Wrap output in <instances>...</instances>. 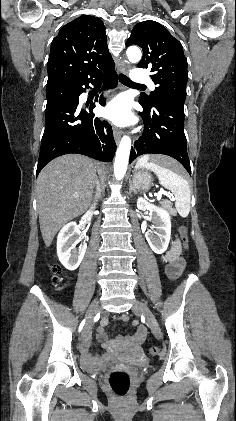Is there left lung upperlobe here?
I'll return each mask as SVG.
<instances>
[{
  "instance_id": "1",
  "label": "left lung upper lobe",
  "mask_w": 236,
  "mask_h": 421,
  "mask_svg": "<svg viewBox=\"0 0 236 421\" xmlns=\"http://www.w3.org/2000/svg\"><path fill=\"white\" fill-rule=\"evenodd\" d=\"M138 45L143 50L139 68L150 69L153 82L158 85L150 96H143L139 103L151 108L165 95L186 98L188 81L187 61L183 48L169 31L155 21L137 23L126 42V46Z\"/></svg>"
}]
</instances>
